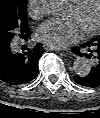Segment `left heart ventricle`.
Wrapping results in <instances>:
<instances>
[{"instance_id":"obj_1","label":"left heart ventricle","mask_w":100,"mask_h":118,"mask_svg":"<svg viewBox=\"0 0 100 118\" xmlns=\"http://www.w3.org/2000/svg\"><path fill=\"white\" fill-rule=\"evenodd\" d=\"M98 14V0H87L80 10L71 6L68 17L74 18L82 30H86L96 24Z\"/></svg>"}]
</instances>
